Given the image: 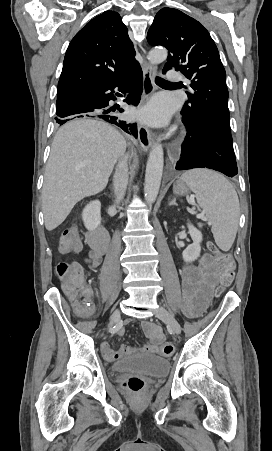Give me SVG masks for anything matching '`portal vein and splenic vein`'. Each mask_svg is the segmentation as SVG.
<instances>
[{
    "mask_svg": "<svg viewBox=\"0 0 272 451\" xmlns=\"http://www.w3.org/2000/svg\"><path fill=\"white\" fill-rule=\"evenodd\" d=\"M191 198H194V196H191ZM196 218H203V214H199V216H196Z\"/></svg>",
    "mask_w": 272,
    "mask_h": 451,
    "instance_id": "obj_1",
    "label": "portal vein and splenic vein"
}]
</instances>
